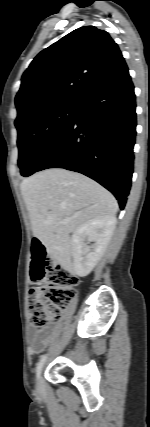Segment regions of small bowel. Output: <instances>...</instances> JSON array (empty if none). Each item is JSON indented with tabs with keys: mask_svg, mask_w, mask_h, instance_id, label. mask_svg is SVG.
Here are the masks:
<instances>
[{
	"mask_svg": "<svg viewBox=\"0 0 150 427\" xmlns=\"http://www.w3.org/2000/svg\"><path fill=\"white\" fill-rule=\"evenodd\" d=\"M54 328H31L28 333L30 349L32 353L42 352L49 344Z\"/></svg>",
	"mask_w": 150,
	"mask_h": 427,
	"instance_id": "1",
	"label": "small bowel"
}]
</instances>
